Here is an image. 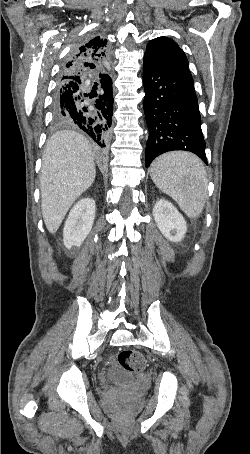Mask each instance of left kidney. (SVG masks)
Segmentation results:
<instances>
[{"label": "left kidney", "mask_w": 250, "mask_h": 454, "mask_svg": "<svg viewBox=\"0 0 250 454\" xmlns=\"http://www.w3.org/2000/svg\"><path fill=\"white\" fill-rule=\"evenodd\" d=\"M153 216L160 232L171 242H180L187 225L181 213L167 200L160 199L153 208Z\"/></svg>", "instance_id": "1"}]
</instances>
